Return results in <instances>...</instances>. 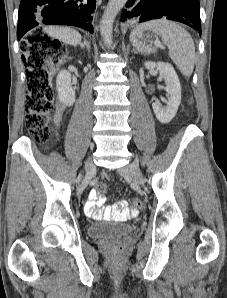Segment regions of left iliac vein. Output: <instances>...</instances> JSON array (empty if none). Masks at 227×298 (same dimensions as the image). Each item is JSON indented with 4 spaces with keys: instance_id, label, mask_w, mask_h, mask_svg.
Returning a JSON list of instances; mask_svg holds the SVG:
<instances>
[{
    "instance_id": "4c4485c4",
    "label": "left iliac vein",
    "mask_w": 227,
    "mask_h": 298,
    "mask_svg": "<svg viewBox=\"0 0 227 298\" xmlns=\"http://www.w3.org/2000/svg\"><path fill=\"white\" fill-rule=\"evenodd\" d=\"M119 173L126 177H132L133 180L138 184L144 183L143 175L136 163L129 164L119 169Z\"/></svg>"
}]
</instances>
